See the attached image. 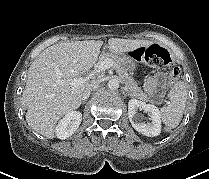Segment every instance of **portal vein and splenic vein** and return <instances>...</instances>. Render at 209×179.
Returning <instances> with one entry per match:
<instances>
[{"label": "portal vein and splenic vein", "instance_id": "1", "mask_svg": "<svg viewBox=\"0 0 209 179\" xmlns=\"http://www.w3.org/2000/svg\"><path fill=\"white\" fill-rule=\"evenodd\" d=\"M113 66H114L113 61L110 59H106L103 62H101L100 64H97L95 69L91 73H89L85 77L75 78V79L71 80L69 82V84L73 87H76V86L84 83L85 81L94 78L96 75L100 74L101 72H103L106 69H109Z\"/></svg>", "mask_w": 209, "mask_h": 179}]
</instances>
